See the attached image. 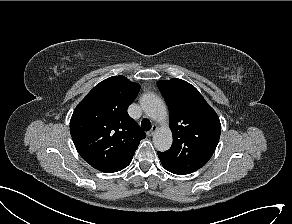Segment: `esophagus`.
<instances>
[{
  "label": "esophagus",
  "instance_id": "obj_1",
  "mask_svg": "<svg viewBox=\"0 0 292 224\" xmlns=\"http://www.w3.org/2000/svg\"><path fill=\"white\" fill-rule=\"evenodd\" d=\"M157 128L158 127L156 125H153L151 130L147 132V135L152 136L155 133V131L157 130Z\"/></svg>",
  "mask_w": 292,
  "mask_h": 224
}]
</instances>
